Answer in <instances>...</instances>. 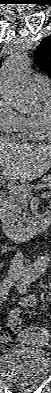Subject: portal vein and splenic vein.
<instances>
[{"label":"portal vein and splenic vein","mask_w":51,"mask_h":393,"mask_svg":"<svg viewBox=\"0 0 51 393\" xmlns=\"http://www.w3.org/2000/svg\"><path fill=\"white\" fill-rule=\"evenodd\" d=\"M38 186H40V188H41V187H44V186H42V185H38ZM10 189H11V191H19V192H22V193H24V196H26V197H28V198H31V197H32L31 193H30L26 188H24V187H22V186L10 185Z\"/></svg>","instance_id":"portal-vein-and-splenic-vein-1"}]
</instances>
